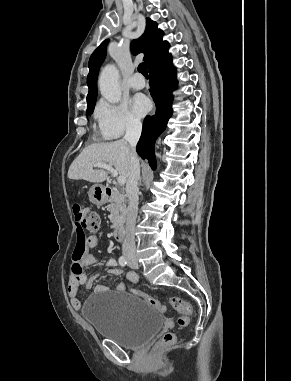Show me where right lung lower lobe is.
<instances>
[{
  "instance_id": "obj_1",
  "label": "right lung lower lobe",
  "mask_w": 291,
  "mask_h": 381,
  "mask_svg": "<svg viewBox=\"0 0 291 381\" xmlns=\"http://www.w3.org/2000/svg\"><path fill=\"white\" fill-rule=\"evenodd\" d=\"M150 74V93L156 104V113L144 120L141 138L136 151L142 159H147L151 168H156L154 145L158 136L165 130L172 116V91L175 89V68L169 54L163 60L148 69Z\"/></svg>"
}]
</instances>
